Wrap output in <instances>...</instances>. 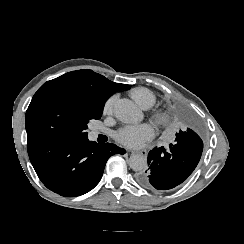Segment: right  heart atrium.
I'll return each mask as SVG.
<instances>
[{
	"label": "right heart atrium",
	"mask_w": 244,
	"mask_h": 244,
	"mask_svg": "<svg viewBox=\"0 0 244 244\" xmlns=\"http://www.w3.org/2000/svg\"><path fill=\"white\" fill-rule=\"evenodd\" d=\"M116 100H117V96L114 94L112 96H110L107 101L105 102V105H104V109H103V112L105 115H109L112 113L113 111V107H114V104L116 103Z\"/></svg>",
	"instance_id": "obj_1"
}]
</instances>
